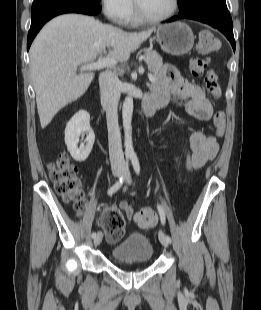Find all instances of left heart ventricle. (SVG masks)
<instances>
[{
	"instance_id": "obj_1",
	"label": "left heart ventricle",
	"mask_w": 261,
	"mask_h": 310,
	"mask_svg": "<svg viewBox=\"0 0 261 310\" xmlns=\"http://www.w3.org/2000/svg\"><path fill=\"white\" fill-rule=\"evenodd\" d=\"M139 7L149 17L165 15L172 7V0H136Z\"/></svg>"
}]
</instances>
